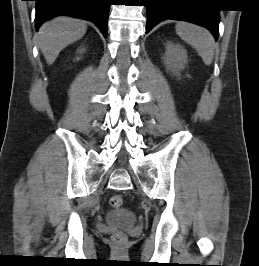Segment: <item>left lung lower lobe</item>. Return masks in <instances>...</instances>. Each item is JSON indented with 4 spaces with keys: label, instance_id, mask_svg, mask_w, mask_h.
I'll use <instances>...</instances> for the list:
<instances>
[{
    "label": "left lung lower lobe",
    "instance_id": "0a47b994",
    "mask_svg": "<svg viewBox=\"0 0 259 266\" xmlns=\"http://www.w3.org/2000/svg\"><path fill=\"white\" fill-rule=\"evenodd\" d=\"M201 0H198V2ZM203 2V0H202ZM203 4L193 5L191 0H146L148 33L159 22L172 19L195 23L207 28L217 40L219 35L220 14Z\"/></svg>",
    "mask_w": 259,
    "mask_h": 266
}]
</instances>
